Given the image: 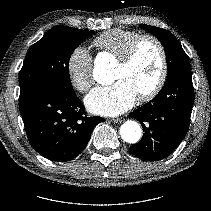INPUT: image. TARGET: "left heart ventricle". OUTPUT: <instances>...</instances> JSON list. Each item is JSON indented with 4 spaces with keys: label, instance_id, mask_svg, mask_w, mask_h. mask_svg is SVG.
<instances>
[{
    "label": "left heart ventricle",
    "instance_id": "obj_1",
    "mask_svg": "<svg viewBox=\"0 0 211 211\" xmlns=\"http://www.w3.org/2000/svg\"><path fill=\"white\" fill-rule=\"evenodd\" d=\"M160 68V54L156 45L151 41H145L140 45L133 62L128 67L116 66L113 81H128L140 95L154 86Z\"/></svg>",
    "mask_w": 211,
    "mask_h": 211
}]
</instances>
